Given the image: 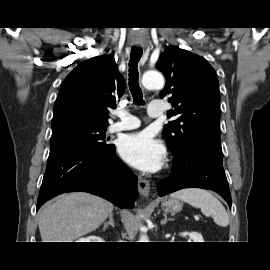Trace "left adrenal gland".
<instances>
[{"instance_id": "left-adrenal-gland-1", "label": "left adrenal gland", "mask_w": 270, "mask_h": 270, "mask_svg": "<svg viewBox=\"0 0 270 270\" xmlns=\"http://www.w3.org/2000/svg\"><path fill=\"white\" fill-rule=\"evenodd\" d=\"M163 216H164V219L161 221V224L162 225L166 224L167 221H171L172 220V218H167V215L166 214H163Z\"/></svg>"}]
</instances>
